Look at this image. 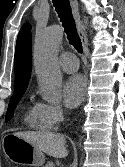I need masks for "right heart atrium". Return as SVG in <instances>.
<instances>
[{"instance_id": "right-heart-atrium-1", "label": "right heart atrium", "mask_w": 125, "mask_h": 167, "mask_svg": "<svg viewBox=\"0 0 125 167\" xmlns=\"http://www.w3.org/2000/svg\"><path fill=\"white\" fill-rule=\"evenodd\" d=\"M44 116L52 127L59 126L65 119V111L58 104L41 103Z\"/></svg>"}]
</instances>
